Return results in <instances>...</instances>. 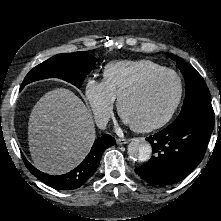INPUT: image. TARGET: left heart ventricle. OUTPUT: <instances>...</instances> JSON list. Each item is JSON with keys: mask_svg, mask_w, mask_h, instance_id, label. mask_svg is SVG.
Returning <instances> with one entry per match:
<instances>
[{"mask_svg": "<svg viewBox=\"0 0 221 221\" xmlns=\"http://www.w3.org/2000/svg\"><path fill=\"white\" fill-rule=\"evenodd\" d=\"M178 84L172 75L152 80L123 104V118L131 125L152 124L164 117L173 105Z\"/></svg>", "mask_w": 221, "mask_h": 221, "instance_id": "b2bd125f", "label": "left heart ventricle"}]
</instances>
